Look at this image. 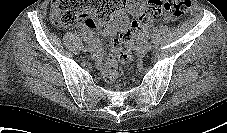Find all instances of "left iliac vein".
Here are the masks:
<instances>
[{"label": "left iliac vein", "instance_id": "1", "mask_svg": "<svg viewBox=\"0 0 227 133\" xmlns=\"http://www.w3.org/2000/svg\"><path fill=\"white\" fill-rule=\"evenodd\" d=\"M147 52H148V48H147V46L145 45V46L139 48V50H138V55H139L140 57H144V56L147 54Z\"/></svg>", "mask_w": 227, "mask_h": 133}]
</instances>
